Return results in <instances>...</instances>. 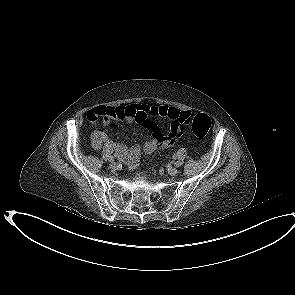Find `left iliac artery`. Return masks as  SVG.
<instances>
[{
	"instance_id": "1",
	"label": "left iliac artery",
	"mask_w": 295,
	"mask_h": 295,
	"mask_svg": "<svg viewBox=\"0 0 295 295\" xmlns=\"http://www.w3.org/2000/svg\"><path fill=\"white\" fill-rule=\"evenodd\" d=\"M175 166H176V167H179V166H180V163H179V162H176V163H175Z\"/></svg>"
}]
</instances>
